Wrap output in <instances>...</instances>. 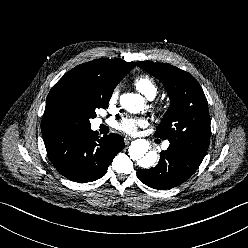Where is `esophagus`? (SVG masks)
<instances>
[{"instance_id": "obj_1", "label": "esophagus", "mask_w": 248, "mask_h": 248, "mask_svg": "<svg viewBox=\"0 0 248 248\" xmlns=\"http://www.w3.org/2000/svg\"><path fill=\"white\" fill-rule=\"evenodd\" d=\"M130 141H131V138H129V137L124 138V142H125L126 145L129 144Z\"/></svg>"}]
</instances>
